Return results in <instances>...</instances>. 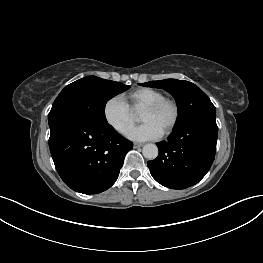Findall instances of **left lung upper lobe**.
Returning a JSON list of instances; mask_svg holds the SVG:
<instances>
[{
    "label": "left lung upper lobe",
    "mask_w": 263,
    "mask_h": 263,
    "mask_svg": "<svg viewBox=\"0 0 263 263\" xmlns=\"http://www.w3.org/2000/svg\"><path fill=\"white\" fill-rule=\"evenodd\" d=\"M140 85L163 88L172 94L177 102L179 111L176 127L196 119L216 117L215 106L209 97L199 87L189 81L166 79L150 81Z\"/></svg>",
    "instance_id": "1"
}]
</instances>
